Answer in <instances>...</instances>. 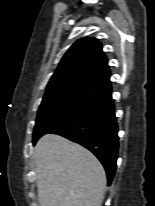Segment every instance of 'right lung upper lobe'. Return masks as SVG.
Listing matches in <instances>:
<instances>
[{"instance_id": "obj_1", "label": "right lung upper lobe", "mask_w": 155, "mask_h": 206, "mask_svg": "<svg viewBox=\"0 0 155 206\" xmlns=\"http://www.w3.org/2000/svg\"><path fill=\"white\" fill-rule=\"evenodd\" d=\"M88 87L110 94V70L101 43L90 37L76 41L63 56L46 91Z\"/></svg>"}]
</instances>
